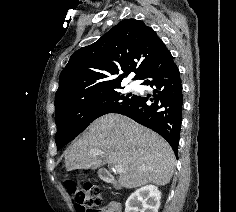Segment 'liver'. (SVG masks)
Instances as JSON below:
<instances>
[{
  "instance_id": "1",
  "label": "liver",
  "mask_w": 236,
  "mask_h": 212,
  "mask_svg": "<svg viewBox=\"0 0 236 212\" xmlns=\"http://www.w3.org/2000/svg\"><path fill=\"white\" fill-rule=\"evenodd\" d=\"M93 150L104 154H91ZM105 164L123 167L119 177L122 187L164 186L172 178L175 157L157 133L124 115L106 114L91 123L65 155L67 171L97 169Z\"/></svg>"
}]
</instances>
